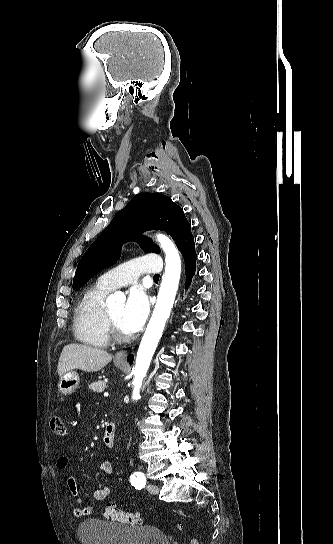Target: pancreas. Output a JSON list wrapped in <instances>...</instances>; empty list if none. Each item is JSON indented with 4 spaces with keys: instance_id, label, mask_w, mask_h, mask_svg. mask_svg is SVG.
<instances>
[{
    "instance_id": "1",
    "label": "pancreas",
    "mask_w": 333,
    "mask_h": 544,
    "mask_svg": "<svg viewBox=\"0 0 333 544\" xmlns=\"http://www.w3.org/2000/svg\"><path fill=\"white\" fill-rule=\"evenodd\" d=\"M106 388H107L106 383L101 380L97 382H93L89 385V389L97 393L103 392Z\"/></svg>"
}]
</instances>
